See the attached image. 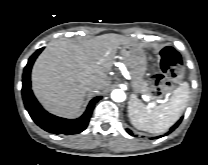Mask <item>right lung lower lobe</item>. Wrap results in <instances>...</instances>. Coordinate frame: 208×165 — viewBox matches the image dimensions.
Segmentation results:
<instances>
[{
  "mask_svg": "<svg viewBox=\"0 0 208 165\" xmlns=\"http://www.w3.org/2000/svg\"><path fill=\"white\" fill-rule=\"evenodd\" d=\"M43 48L38 49L28 60L23 72L22 97L24 105L33 121L42 129L55 134H76L86 129L95 103L101 97H96L89 103L85 113L77 119L60 118L46 112L38 103L31 90L30 73L32 65Z\"/></svg>",
  "mask_w": 208,
  "mask_h": 165,
  "instance_id": "obj_1",
  "label": "right lung lower lobe"
}]
</instances>
